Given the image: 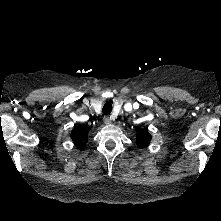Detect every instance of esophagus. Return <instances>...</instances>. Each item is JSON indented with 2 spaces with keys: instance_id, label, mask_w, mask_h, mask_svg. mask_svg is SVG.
<instances>
[{
  "instance_id": "34e87169",
  "label": "esophagus",
  "mask_w": 221,
  "mask_h": 221,
  "mask_svg": "<svg viewBox=\"0 0 221 221\" xmlns=\"http://www.w3.org/2000/svg\"><path fill=\"white\" fill-rule=\"evenodd\" d=\"M103 120H104L105 124H110L111 123V117H109V116H105Z\"/></svg>"
}]
</instances>
